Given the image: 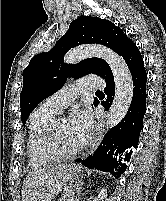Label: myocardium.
I'll return each mask as SVG.
<instances>
[{"mask_svg":"<svg viewBox=\"0 0 166 201\" xmlns=\"http://www.w3.org/2000/svg\"><path fill=\"white\" fill-rule=\"evenodd\" d=\"M64 120L62 116H55L53 117L48 124L43 129L42 135H41V146L44 151H46L48 154L52 155L55 158L59 159H66L71 158L78 154L81 150V146H78L77 148L73 150H62L58 145L56 141V127L59 124L60 121Z\"/></svg>","mask_w":166,"mask_h":201,"instance_id":"myocardium-1","label":"myocardium"}]
</instances>
